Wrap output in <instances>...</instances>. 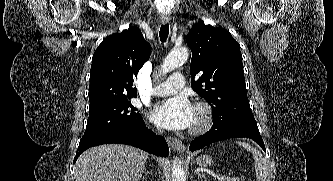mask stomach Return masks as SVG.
<instances>
[{"mask_svg": "<svg viewBox=\"0 0 333 181\" xmlns=\"http://www.w3.org/2000/svg\"><path fill=\"white\" fill-rule=\"evenodd\" d=\"M196 164L200 167H208L213 164V160L208 155H201L196 159Z\"/></svg>", "mask_w": 333, "mask_h": 181, "instance_id": "stomach-1", "label": "stomach"}]
</instances>
